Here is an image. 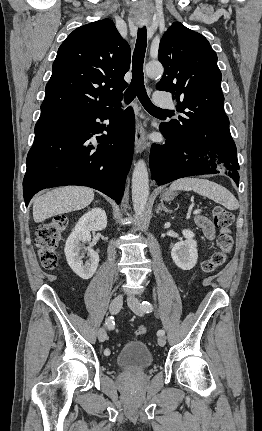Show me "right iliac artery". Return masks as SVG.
<instances>
[{
    "instance_id": "obj_1",
    "label": "right iliac artery",
    "mask_w": 262,
    "mask_h": 431,
    "mask_svg": "<svg viewBox=\"0 0 262 431\" xmlns=\"http://www.w3.org/2000/svg\"><path fill=\"white\" fill-rule=\"evenodd\" d=\"M114 317H109L107 320H106V323H105V325L108 327V329H113L114 328V325H115V322H114ZM104 354L105 355H109L110 354V350L109 349H106L105 351H104Z\"/></svg>"
}]
</instances>
